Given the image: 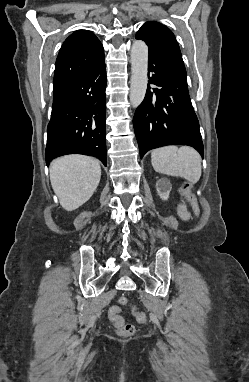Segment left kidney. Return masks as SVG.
Listing matches in <instances>:
<instances>
[{
    "mask_svg": "<svg viewBox=\"0 0 249 382\" xmlns=\"http://www.w3.org/2000/svg\"><path fill=\"white\" fill-rule=\"evenodd\" d=\"M172 185L168 179H159L156 183V190L162 200H168Z\"/></svg>",
    "mask_w": 249,
    "mask_h": 382,
    "instance_id": "5707ae66",
    "label": "left kidney"
}]
</instances>
